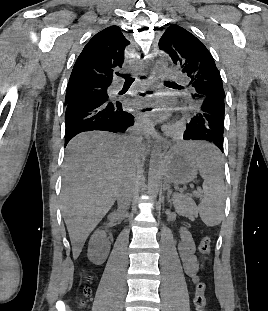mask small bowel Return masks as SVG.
I'll return each instance as SVG.
<instances>
[{
	"label": "small bowel",
	"instance_id": "obj_1",
	"mask_svg": "<svg viewBox=\"0 0 268 311\" xmlns=\"http://www.w3.org/2000/svg\"><path fill=\"white\" fill-rule=\"evenodd\" d=\"M177 247L185 273L193 283H197L199 280L198 272L203 265L195 255V244L189 230L185 227L180 229Z\"/></svg>",
	"mask_w": 268,
	"mask_h": 311
}]
</instances>
